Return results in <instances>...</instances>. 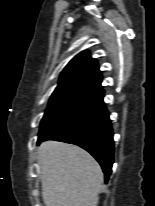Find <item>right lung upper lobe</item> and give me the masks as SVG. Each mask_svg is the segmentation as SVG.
<instances>
[{
    "instance_id": "1",
    "label": "right lung upper lobe",
    "mask_w": 155,
    "mask_h": 206,
    "mask_svg": "<svg viewBox=\"0 0 155 206\" xmlns=\"http://www.w3.org/2000/svg\"><path fill=\"white\" fill-rule=\"evenodd\" d=\"M101 82L97 61L90 57L89 52L82 51L64 68L56 89L89 88L104 93Z\"/></svg>"
}]
</instances>
